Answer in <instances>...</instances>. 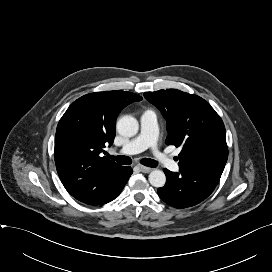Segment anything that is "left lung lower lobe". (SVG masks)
<instances>
[{"instance_id":"1","label":"left lung lower lobe","mask_w":272,"mask_h":272,"mask_svg":"<svg viewBox=\"0 0 272 272\" xmlns=\"http://www.w3.org/2000/svg\"><path fill=\"white\" fill-rule=\"evenodd\" d=\"M167 181L158 195L168 205L187 208L205 200L217 186L222 172L199 168H180V172L164 169Z\"/></svg>"}]
</instances>
